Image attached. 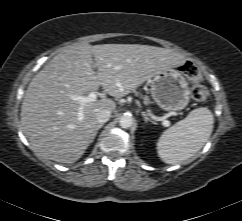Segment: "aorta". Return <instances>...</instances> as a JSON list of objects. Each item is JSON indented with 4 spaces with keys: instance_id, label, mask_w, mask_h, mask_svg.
<instances>
[{
    "instance_id": "1",
    "label": "aorta",
    "mask_w": 242,
    "mask_h": 221,
    "mask_svg": "<svg viewBox=\"0 0 242 221\" xmlns=\"http://www.w3.org/2000/svg\"><path fill=\"white\" fill-rule=\"evenodd\" d=\"M119 124L122 128L128 129L133 125V118L129 114H124L119 119Z\"/></svg>"
}]
</instances>
